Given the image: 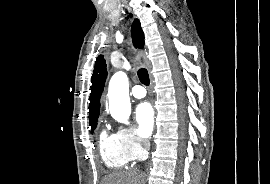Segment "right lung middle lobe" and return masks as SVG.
I'll return each instance as SVG.
<instances>
[{
    "label": "right lung middle lobe",
    "instance_id": "dd1d6c3e",
    "mask_svg": "<svg viewBox=\"0 0 270 184\" xmlns=\"http://www.w3.org/2000/svg\"><path fill=\"white\" fill-rule=\"evenodd\" d=\"M91 130L95 129L97 126V121L90 123Z\"/></svg>",
    "mask_w": 270,
    "mask_h": 184
}]
</instances>
